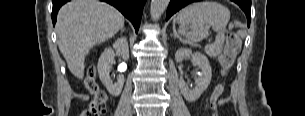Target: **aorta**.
<instances>
[{
  "label": "aorta",
  "mask_w": 305,
  "mask_h": 116,
  "mask_svg": "<svg viewBox=\"0 0 305 116\" xmlns=\"http://www.w3.org/2000/svg\"><path fill=\"white\" fill-rule=\"evenodd\" d=\"M168 4H169V0H152L150 7L151 18L154 21L160 19L161 15L166 10Z\"/></svg>",
  "instance_id": "762f6f07"
}]
</instances>
